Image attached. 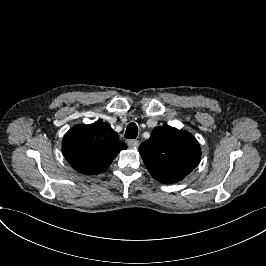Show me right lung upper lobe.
Segmentation results:
<instances>
[{
    "label": "right lung upper lobe",
    "mask_w": 266,
    "mask_h": 266,
    "mask_svg": "<svg viewBox=\"0 0 266 266\" xmlns=\"http://www.w3.org/2000/svg\"><path fill=\"white\" fill-rule=\"evenodd\" d=\"M127 145L102 121L76 125L64 136L62 151L68 163L85 175H96L112 163Z\"/></svg>",
    "instance_id": "obj_1"
}]
</instances>
